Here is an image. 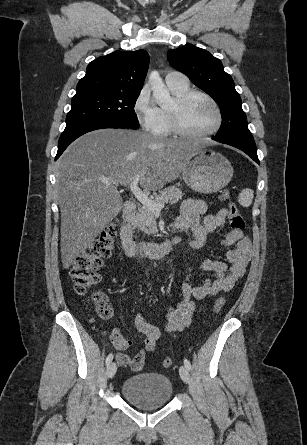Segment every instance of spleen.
Segmentation results:
<instances>
[{"mask_svg": "<svg viewBox=\"0 0 307 445\" xmlns=\"http://www.w3.org/2000/svg\"><path fill=\"white\" fill-rule=\"evenodd\" d=\"M254 190L252 188H243L239 194L238 202L241 206H250L252 204Z\"/></svg>", "mask_w": 307, "mask_h": 445, "instance_id": "3e777b00", "label": "spleen"}]
</instances>
